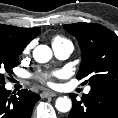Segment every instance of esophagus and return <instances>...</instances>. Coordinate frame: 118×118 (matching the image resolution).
Segmentation results:
<instances>
[{
	"label": "esophagus",
	"instance_id": "34e87169",
	"mask_svg": "<svg viewBox=\"0 0 118 118\" xmlns=\"http://www.w3.org/2000/svg\"><path fill=\"white\" fill-rule=\"evenodd\" d=\"M57 94L55 92L51 91H44L41 93V97L47 98V97H55Z\"/></svg>",
	"mask_w": 118,
	"mask_h": 118
}]
</instances>
